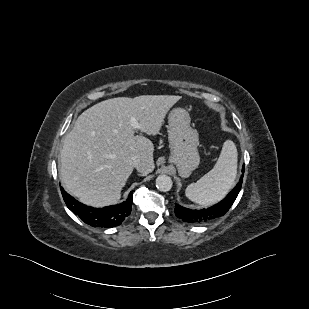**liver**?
<instances>
[{"mask_svg":"<svg viewBox=\"0 0 309 309\" xmlns=\"http://www.w3.org/2000/svg\"><path fill=\"white\" fill-rule=\"evenodd\" d=\"M182 97L142 95L118 97L84 111L63 141L59 174L67 192L82 203L103 207L116 203L133 172L132 157H139L142 174L154 168L153 143L134 135L131 118L141 131L159 133L169 109Z\"/></svg>","mask_w":309,"mask_h":309,"instance_id":"obj_1","label":"liver"}]
</instances>
